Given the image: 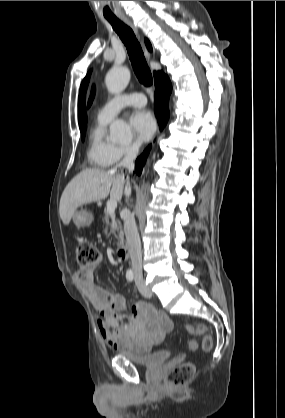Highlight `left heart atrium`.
<instances>
[{
  "mask_svg": "<svg viewBox=\"0 0 285 418\" xmlns=\"http://www.w3.org/2000/svg\"><path fill=\"white\" fill-rule=\"evenodd\" d=\"M130 125L139 139L147 141L156 131L157 124L149 110L139 109L130 116Z\"/></svg>",
  "mask_w": 285,
  "mask_h": 418,
  "instance_id": "39dd6f15",
  "label": "left heart atrium"
}]
</instances>
